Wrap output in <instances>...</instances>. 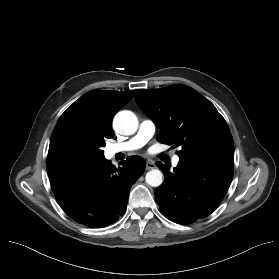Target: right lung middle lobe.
Masks as SVG:
<instances>
[{
	"label": "right lung middle lobe",
	"mask_w": 279,
	"mask_h": 279,
	"mask_svg": "<svg viewBox=\"0 0 279 279\" xmlns=\"http://www.w3.org/2000/svg\"><path fill=\"white\" fill-rule=\"evenodd\" d=\"M104 146V141L94 140L81 131H65L50 144L47 171L84 165L104 158Z\"/></svg>",
	"instance_id": "obj_1"
}]
</instances>
